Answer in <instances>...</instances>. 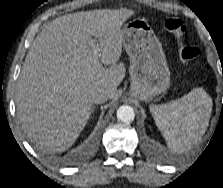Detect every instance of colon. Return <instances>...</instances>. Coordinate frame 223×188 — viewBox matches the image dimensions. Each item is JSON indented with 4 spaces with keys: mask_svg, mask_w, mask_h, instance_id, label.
Returning <instances> with one entry per match:
<instances>
[{
    "mask_svg": "<svg viewBox=\"0 0 223 188\" xmlns=\"http://www.w3.org/2000/svg\"><path fill=\"white\" fill-rule=\"evenodd\" d=\"M165 31L172 34L176 40L179 49V56L184 64L190 65L196 61L199 55V49L185 41V26L180 19L168 18L164 21Z\"/></svg>",
    "mask_w": 223,
    "mask_h": 188,
    "instance_id": "5ec220e1",
    "label": "colon"
}]
</instances>
